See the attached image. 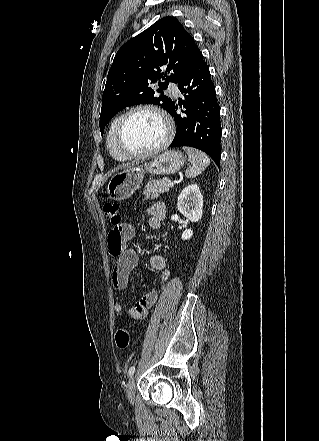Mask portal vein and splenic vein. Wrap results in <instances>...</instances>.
<instances>
[{"label": "portal vein and splenic vein", "instance_id": "portal-vein-and-splenic-vein-1", "mask_svg": "<svg viewBox=\"0 0 319 441\" xmlns=\"http://www.w3.org/2000/svg\"><path fill=\"white\" fill-rule=\"evenodd\" d=\"M168 186L169 187H174V183L173 182H169Z\"/></svg>", "mask_w": 319, "mask_h": 441}]
</instances>
